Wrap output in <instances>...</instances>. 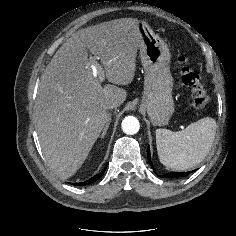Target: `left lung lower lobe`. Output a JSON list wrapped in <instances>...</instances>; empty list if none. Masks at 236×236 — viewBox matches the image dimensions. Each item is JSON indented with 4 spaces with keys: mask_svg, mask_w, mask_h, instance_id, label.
<instances>
[{
    "mask_svg": "<svg viewBox=\"0 0 236 236\" xmlns=\"http://www.w3.org/2000/svg\"><path fill=\"white\" fill-rule=\"evenodd\" d=\"M148 161H149L151 167L153 168V164L151 162V157H150V148H149V146H148ZM190 173H191V171L190 172H170V173L161 175V177L162 178H178V177L186 176Z\"/></svg>",
    "mask_w": 236,
    "mask_h": 236,
    "instance_id": "obj_1",
    "label": "left lung lower lobe"
}]
</instances>
